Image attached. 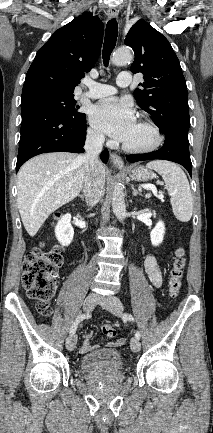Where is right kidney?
<instances>
[{
    "mask_svg": "<svg viewBox=\"0 0 213 433\" xmlns=\"http://www.w3.org/2000/svg\"><path fill=\"white\" fill-rule=\"evenodd\" d=\"M71 215L65 214L58 221L55 228V235L62 246H68L73 240L74 229L70 223Z\"/></svg>",
    "mask_w": 213,
    "mask_h": 433,
    "instance_id": "1",
    "label": "right kidney"
}]
</instances>
